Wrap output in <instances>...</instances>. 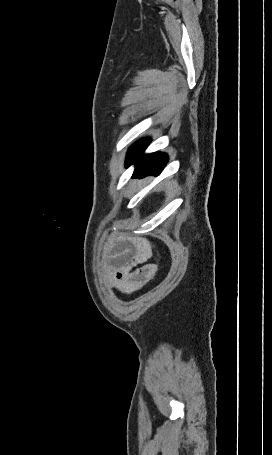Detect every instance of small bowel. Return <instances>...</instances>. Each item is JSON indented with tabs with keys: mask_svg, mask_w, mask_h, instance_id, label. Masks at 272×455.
<instances>
[{
	"mask_svg": "<svg viewBox=\"0 0 272 455\" xmlns=\"http://www.w3.org/2000/svg\"><path fill=\"white\" fill-rule=\"evenodd\" d=\"M151 254L150 244L141 237H128L113 244L106 268L110 285L130 294L152 281L157 267L148 263Z\"/></svg>",
	"mask_w": 272,
	"mask_h": 455,
	"instance_id": "small-bowel-1",
	"label": "small bowel"
}]
</instances>
